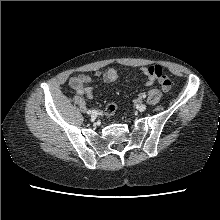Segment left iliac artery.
Masks as SVG:
<instances>
[{
  "instance_id": "obj_1",
  "label": "left iliac artery",
  "mask_w": 220,
  "mask_h": 220,
  "mask_svg": "<svg viewBox=\"0 0 220 220\" xmlns=\"http://www.w3.org/2000/svg\"><path fill=\"white\" fill-rule=\"evenodd\" d=\"M140 97H141V98H145V97H146V94H145V93H141V94H140Z\"/></svg>"
}]
</instances>
